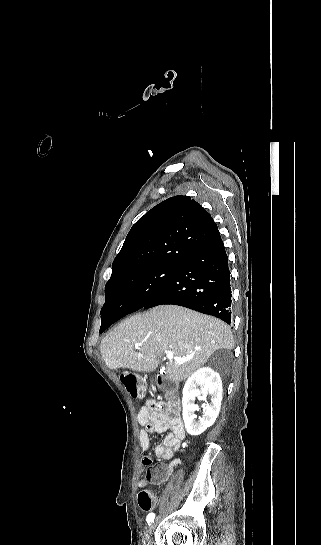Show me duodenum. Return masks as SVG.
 Returning <instances> with one entry per match:
<instances>
[{
	"mask_svg": "<svg viewBox=\"0 0 321 545\" xmlns=\"http://www.w3.org/2000/svg\"><path fill=\"white\" fill-rule=\"evenodd\" d=\"M157 386L164 391L170 399L173 398L175 392V385L167 378L158 376L156 378Z\"/></svg>",
	"mask_w": 321,
	"mask_h": 545,
	"instance_id": "1",
	"label": "duodenum"
}]
</instances>
